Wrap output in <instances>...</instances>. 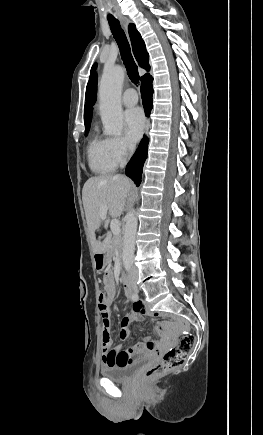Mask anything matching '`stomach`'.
<instances>
[{
    "instance_id": "stomach-1",
    "label": "stomach",
    "mask_w": 263,
    "mask_h": 435,
    "mask_svg": "<svg viewBox=\"0 0 263 435\" xmlns=\"http://www.w3.org/2000/svg\"><path fill=\"white\" fill-rule=\"evenodd\" d=\"M110 255L108 253H100L95 256V266L98 271H102L109 262Z\"/></svg>"
}]
</instances>
